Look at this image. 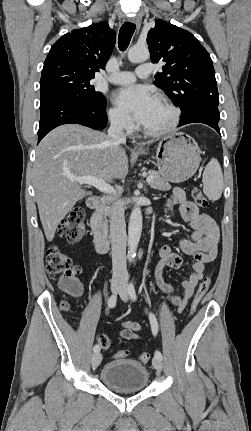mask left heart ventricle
<instances>
[{
  "label": "left heart ventricle",
  "instance_id": "1",
  "mask_svg": "<svg viewBox=\"0 0 251 431\" xmlns=\"http://www.w3.org/2000/svg\"><path fill=\"white\" fill-rule=\"evenodd\" d=\"M171 119V111L160 101L157 102L143 126L148 129H160L165 127Z\"/></svg>",
  "mask_w": 251,
  "mask_h": 431
}]
</instances>
